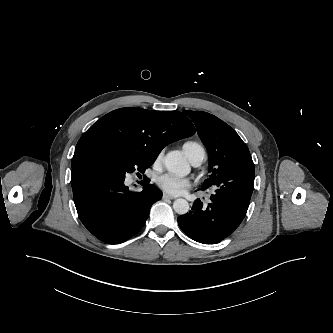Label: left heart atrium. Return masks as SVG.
<instances>
[{"instance_id":"39dd6f15","label":"left heart atrium","mask_w":333,"mask_h":333,"mask_svg":"<svg viewBox=\"0 0 333 333\" xmlns=\"http://www.w3.org/2000/svg\"><path fill=\"white\" fill-rule=\"evenodd\" d=\"M156 183L165 193L178 196L191 187L189 178H181L173 174H163L156 178Z\"/></svg>"}]
</instances>
